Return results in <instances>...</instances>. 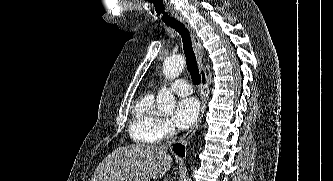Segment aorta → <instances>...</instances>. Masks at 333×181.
<instances>
[{"label":"aorta","instance_id":"aorta-1","mask_svg":"<svg viewBox=\"0 0 333 181\" xmlns=\"http://www.w3.org/2000/svg\"><path fill=\"white\" fill-rule=\"evenodd\" d=\"M184 64V57L180 55L168 57L163 63V74L166 79L172 80L178 77L184 68ZM156 102L163 114L171 113L176 104L175 96L166 87L159 91Z\"/></svg>","mask_w":333,"mask_h":181}]
</instances>
